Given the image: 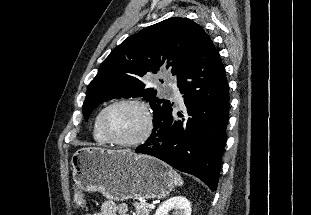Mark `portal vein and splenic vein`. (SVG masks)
Listing matches in <instances>:
<instances>
[{
  "mask_svg": "<svg viewBox=\"0 0 311 215\" xmlns=\"http://www.w3.org/2000/svg\"><path fill=\"white\" fill-rule=\"evenodd\" d=\"M149 208L153 209L155 206L154 204H148Z\"/></svg>",
  "mask_w": 311,
  "mask_h": 215,
  "instance_id": "obj_1",
  "label": "portal vein and splenic vein"
}]
</instances>
